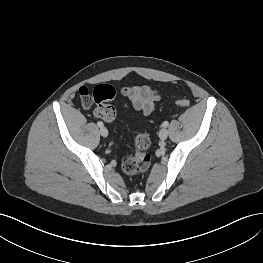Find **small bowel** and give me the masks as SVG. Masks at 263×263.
Wrapping results in <instances>:
<instances>
[{
  "label": "small bowel",
  "mask_w": 263,
  "mask_h": 263,
  "mask_svg": "<svg viewBox=\"0 0 263 263\" xmlns=\"http://www.w3.org/2000/svg\"><path fill=\"white\" fill-rule=\"evenodd\" d=\"M121 94L131 101L136 111L143 115L151 114L159 100L158 92L146 85L124 87L121 90Z\"/></svg>",
  "instance_id": "c3829d8e"
}]
</instances>
